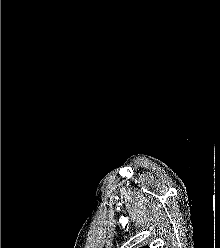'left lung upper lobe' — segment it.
<instances>
[{
    "mask_svg": "<svg viewBox=\"0 0 220 248\" xmlns=\"http://www.w3.org/2000/svg\"><path fill=\"white\" fill-rule=\"evenodd\" d=\"M142 248H149L148 246L142 247Z\"/></svg>",
    "mask_w": 220,
    "mask_h": 248,
    "instance_id": "5c2ea615",
    "label": "left lung upper lobe"
}]
</instances>
